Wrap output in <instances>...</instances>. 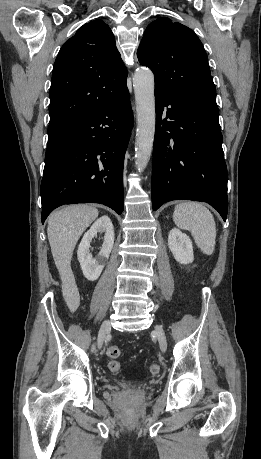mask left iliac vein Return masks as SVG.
I'll return each instance as SVG.
<instances>
[{"label":"left iliac vein","mask_w":261,"mask_h":459,"mask_svg":"<svg viewBox=\"0 0 261 459\" xmlns=\"http://www.w3.org/2000/svg\"><path fill=\"white\" fill-rule=\"evenodd\" d=\"M155 333L158 338L159 346L162 352H166L167 350V340L166 335L163 328L160 325L155 326Z\"/></svg>","instance_id":"left-iliac-vein-1"}]
</instances>
